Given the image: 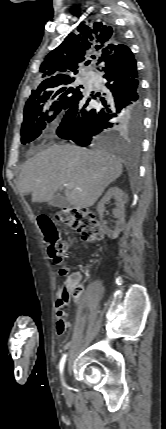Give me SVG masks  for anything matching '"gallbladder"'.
Listing matches in <instances>:
<instances>
[{
    "label": "gallbladder",
    "mask_w": 166,
    "mask_h": 429,
    "mask_svg": "<svg viewBox=\"0 0 166 429\" xmlns=\"http://www.w3.org/2000/svg\"><path fill=\"white\" fill-rule=\"evenodd\" d=\"M52 207H68L69 202L67 199L60 195H54L53 198L48 202Z\"/></svg>",
    "instance_id": "obj_1"
}]
</instances>
